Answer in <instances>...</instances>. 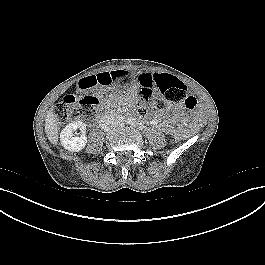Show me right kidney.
Wrapping results in <instances>:
<instances>
[{"label":"right kidney","instance_id":"ca27d5eb","mask_svg":"<svg viewBox=\"0 0 265 265\" xmlns=\"http://www.w3.org/2000/svg\"><path fill=\"white\" fill-rule=\"evenodd\" d=\"M77 129L81 131V137L74 136L73 133ZM85 133L86 125L84 123L80 121L69 123L60 133L61 145L71 152L81 151L87 144Z\"/></svg>","mask_w":265,"mask_h":265}]
</instances>
